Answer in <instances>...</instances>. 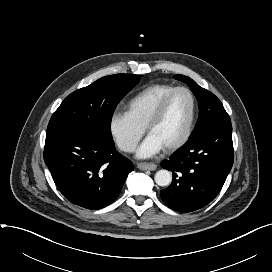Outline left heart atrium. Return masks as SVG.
Segmentation results:
<instances>
[{"label": "left heart atrium", "mask_w": 272, "mask_h": 272, "mask_svg": "<svg viewBox=\"0 0 272 272\" xmlns=\"http://www.w3.org/2000/svg\"><path fill=\"white\" fill-rule=\"evenodd\" d=\"M162 149H164L162 143L154 135L149 134L138 147L136 155L139 158H148L159 153Z\"/></svg>", "instance_id": "39dd6f15"}]
</instances>
